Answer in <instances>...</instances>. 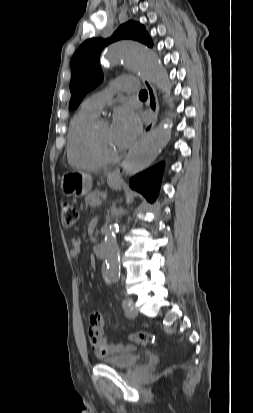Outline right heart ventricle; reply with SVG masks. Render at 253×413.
Segmentation results:
<instances>
[{
	"label": "right heart ventricle",
	"mask_w": 253,
	"mask_h": 413,
	"mask_svg": "<svg viewBox=\"0 0 253 413\" xmlns=\"http://www.w3.org/2000/svg\"><path fill=\"white\" fill-rule=\"evenodd\" d=\"M97 116L98 114L82 106L72 118L66 147L67 159L71 165L84 169H96L102 165L92 154L88 142L89 129Z\"/></svg>",
	"instance_id": "right-heart-ventricle-1"
}]
</instances>
